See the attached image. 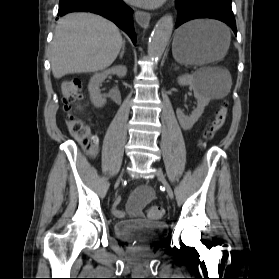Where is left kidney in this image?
<instances>
[{
    "label": "left kidney",
    "mask_w": 279,
    "mask_h": 279,
    "mask_svg": "<svg viewBox=\"0 0 279 279\" xmlns=\"http://www.w3.org/2000/svg\"><path fill=\"white\" fill-rule=\"evenodd\" d=\"M178 84L180 86L190 85L197 100V108L189 116L185 115L181 109L176 111L182 129L190 130L202 115L205 106L210 102V98L202 93L200 79L195 75L185 74L178 77Z\"/></svg>",
    "instance_id": "5707ae66"
}]
</instances>
